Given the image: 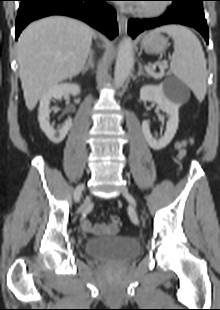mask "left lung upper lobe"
Segmentation results:
<instances>
[{
	"instance_id": "left-lung-upper-lobe-1",
	"label": "left lung upper lobe",
	"mask_w": 220,
	"mask_h": 310,
	"mask_svg": "<svg viewBox=\"0 0 220 310\" xmlns=\"http://www.w3.org/2000/svg\"><path fill=\"white\" fill-rule=\"evenodd\" d=\"M197 1V3H199L200 5H202V2L204 1V0H196Z\"/></svg>"
}]
</instances>
